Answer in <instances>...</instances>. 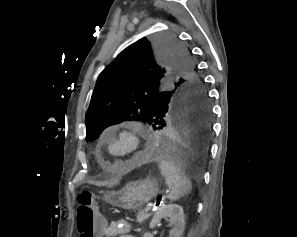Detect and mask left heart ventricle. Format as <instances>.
Here are the masks:
<instances>
[{"label": "left heart ventricle", "instance_id": "1", "mask_svg": "<svg viewBox=\"0 0 297 237\" xmlns=\"http://www.w3.org/2000/svg\"><path fill=\"white\" fill-rule=\"evenodd\" d=\"M129 149V144L126 140H119L112 144L111 151L116 156H121Z\"/></svg>", "mask_w": 297, "mask_h": 237}]
</instances>
